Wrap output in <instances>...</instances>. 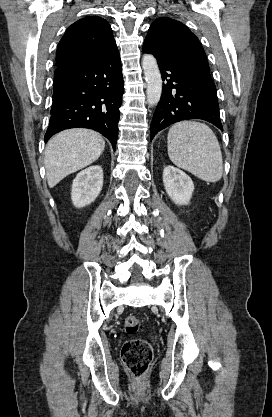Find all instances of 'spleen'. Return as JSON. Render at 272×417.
Listing matches in <instances>:
<instances>
[{
    "label": "spleen",
    "mask_w": 272,
    "mask_h": 417,
    "mask_svg": "<svg viewBox=\"0 0 272 417\" xmlns=\"http://www.w3.org/2000/svg\"><path fill=\"white\" fill-rule=\"evenodd\" d=\"M168 155L178 167L196 177L215 183L222 178L223 159L219 142L204 123L182 121L168 132Z\"/></svg>",
    "instance_id": "obj_1"
}]
</instances>
